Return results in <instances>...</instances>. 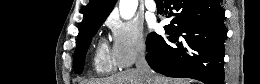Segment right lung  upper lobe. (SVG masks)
<instances>
[{
    "instance_id": "obj_1",
    "label": "right lung upper lobe",
    "mask_w": 260,
    "mask_h": 84,
    "mask_svg": "<svg viewBox=\"0 0 260 84\" xmlns=\"http://www.w3.org/2000/svg\"><path fill=\"white\" fill-rule=\"evenodd\" d=\"M115 3L116 0H90L85 8L78 35L93 23L105 20L112 11Z\"/></svg>"
}]
</instances>
